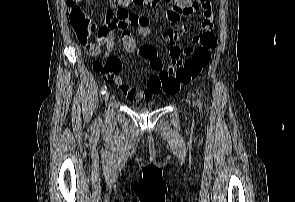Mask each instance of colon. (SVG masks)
Instances as JSON below:
<instances>
[{"mask_svg": "<svg viewBox=\"0 0 295 202\" xmlns=\"http://www.w3.org/2000/svg\"><path fill=\"white\" fill-rule=\"evenodd\" d=\"M72 0H68L71 2ZM170 2L171 0H166ZM119 6L116 18L120 27L137 25V15H130L123 7L128 4L135 6L155 7L161 0H112ZM69 17L72 29L77 39L85 45L94 44L92 38L97 32V26L91 17L80 7L70 6ZM197 46L183 52L174 63L169 64L157 75L149 77L147 90L154 93L162 92L165 95L176 94L182 86L189 85L206 68L211 59V51L216 47L217 40L211 29L203 30L194 41Z\"/></svg>", "mask_w": 295, "mask_h": 202, "instance_id": "5ec220e1", "label": "colon"}]
</instances>
